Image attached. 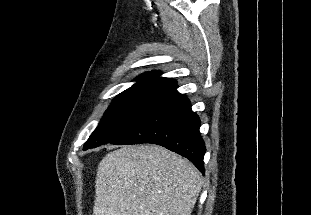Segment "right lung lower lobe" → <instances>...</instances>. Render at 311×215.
<instances>
[{
	"label": "right lung lower lobe",
	"instance_id": "obj_1",
	"mask_svg": "<svg viewBox=\"0 0 311 215\" xmlns=\"http://www.w3.org/2000/svg\"><path fill=\"white\" fill-rule=\"evenodd\" d=\"M176 88L174 83L148 114L110 143L158 144L188 158L204 174L206 148L199 132L200 119L192 111L188 98Z\"/></svg>",
	"mask_w": 311,
	"mask_h": 215
}]
</instances>
